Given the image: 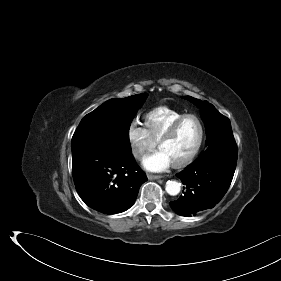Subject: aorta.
<instances>
[{"label": "aorta", "instance_id": "aorta-1", "mask_svg": "<svg viewBox=\"0 0 281 281\" xmlns=\"http://www.w3.org/2000/svg\"><path fill=\"white\" fill-rule=\"evenodd\" d=\"M180 186H181L180 183H178L177 181H168L166 183L165 190L169 195L175 196L179 194L181 189Z\"/></svg>", "mask_w": 281, "mask_h": 281}]
</instances>
